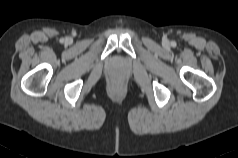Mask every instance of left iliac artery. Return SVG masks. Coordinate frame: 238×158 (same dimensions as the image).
Wrapping results in <instances>:
<instances>
[{
  "mask_svg": "<svg viewBox=\"0 0 238 158\" xmlns=\"http://www.w3.org/2000/svg\"><path fill=\"white\" fill-rule=\"evenodd\" d=\"M171 45L174 47V46L176 45V43H175V42H172Z\"/></svg>",
  "mask_w": 238,
  "mask_h": 158,
  "instance_id": "left-iliac-artery-1",
  "label": "left iliac artery"
}]
</instances>
